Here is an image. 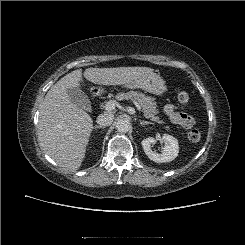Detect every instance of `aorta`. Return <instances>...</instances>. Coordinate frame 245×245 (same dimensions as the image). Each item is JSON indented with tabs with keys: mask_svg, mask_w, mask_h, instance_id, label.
Instances as JSON below:
<instances>
[{
	"mask_svg": "<svg viewBox=\"0 0 245 245\" xmlns=\"http://www.w3.org/2000/svg\"><path fill=\"white\" fill-rule=\"evenodd\" d=\"M131 129V123L125 118L118 119L116 122V130L120 133H126Z\"/></svg>",
	"mask_w": 245,
	"mask_h": 245,
	"instance_id": "obj_1",
	"label": "aorta"
}]
</instances>
